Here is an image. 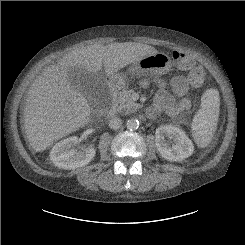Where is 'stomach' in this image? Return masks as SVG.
Segmentation results:
<instances>
[{
  "label": "stomach",
  "mask_w": 245,
  "mask_h": 245,
  "mask_svg": "<svg viewBox=\"0 0 245 245\" xmlns=\"http://www.w3.org/2000/svg\"><path fill=\"white\" fill-rule=\"evenodd\" d=\"M172 62L168 55L162 52H157L152 55H148L138 62L133 63L128 69L127 73H114L110 75L112 80L119 81L121 83L127 82V74L138 75L145 73H153L157 75L166 74L171 69Z\"/></svg>",
  "instance_id": "stomach-1"
}]
</instances>
